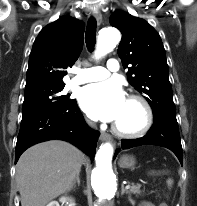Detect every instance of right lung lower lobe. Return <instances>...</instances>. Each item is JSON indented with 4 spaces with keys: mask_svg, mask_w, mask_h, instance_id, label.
Masks as SVG:
<instances>
[{
    "mask_svg": "<svg viewBox=\"0 0 197 206\" xmlns=\"http://www.w3.org/2000/svg\"><path fill=\"white\" fill-rule=\"evenodd\" d=\"M99 134L86 125L74 100L63 108L22 119L16 143L15 163L27 148L50 139L68 141L93 159Z\"/></svg>",
    "mask_w": 197,
    "mask_h": 206,
    "instance_id": "obj_1",
    "label": "right lung lower lobe"
}]
</instances>
